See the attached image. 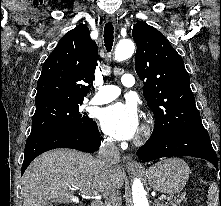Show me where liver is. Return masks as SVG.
Masks as SVG:
<instances>
[{
    "instance_id": "6515ba94",
    "label": "liver",
    "mask_w": 221,
    "mask_h": 206,
    "mask_svg": "<svg viewBox=\"0 0 221 206\" xmlns=\"http://www.w3.org/2000/svg\"><path fill=\"white\" fill-rule=\"evenodd\" d=\"M126 178L124 170L103 166L88 153L69 149L48 151L37 157L23 175V206H49L54 202L77 203L74 191H120Z\"/></svg>"
}]
</instances>
